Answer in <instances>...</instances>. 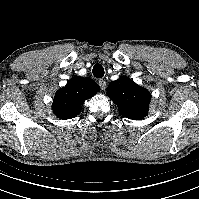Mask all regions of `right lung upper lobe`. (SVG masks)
<instances>
[{"label": "right lung upper lobe", "instance_id": "cb5924a9", "mask_svg": "<svg viewBox=\"0 0 199 199\" xmlns=\"http://www.w3.org/2000/svg\"><path fill=\"white\" fill-rule=\"evenodd\" d=\"M99 91L100 87L91 78L75 76L56 92L53 112L60 119H71L79 114L85 100Z\"/></svg>", "mask_w": 199, "mask_h": 199}]
</instances>
